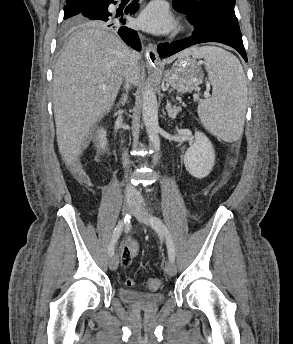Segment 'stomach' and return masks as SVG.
Segmentation results:
<instances>
[{"mask_svg":"<svg viewBox=\"0 0 293 344\" xmlns=\"http://www.w3.org/2000/svg\"><path fill=\"white\" fill-rule=\"evenodd\" d=\"M164 80L180 93L191 92L203 83L200 63L189 55H179L171 69L164 72Z\"/></svg>","mask_w":293,"mask_h":344,"instance_id":"0dacf381","label":"stomach"}]
</instances>
